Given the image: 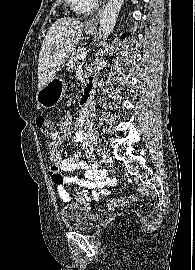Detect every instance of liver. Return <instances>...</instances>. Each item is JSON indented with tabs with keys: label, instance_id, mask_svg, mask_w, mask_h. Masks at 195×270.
<instances>
[{
	"label": "liver",
	"instance_id": "1",
	"mask_svg": "<svg viewBox=\"0 0 195 270\" xmlns=\"http://www.w3.org/2000/svg\"><path fill=\"white\" fill-rule=\"evenodd\" d=\"M83 23L70 18L57 19L49 28L39 53L38 90L62 69L82 35Z\"/></svg>",
	"mask_w": 195,
	"mask_h": 270
}]
</instances>
